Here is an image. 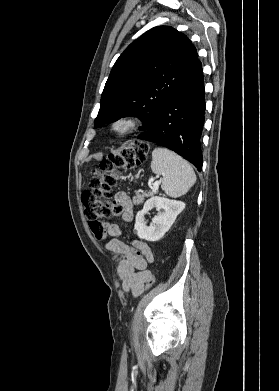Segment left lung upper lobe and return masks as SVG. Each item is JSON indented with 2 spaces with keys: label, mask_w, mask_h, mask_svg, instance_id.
Listing matches in <instances>:
<instances>
[{
  "label": "left lung upper lobe",
  "mask_w": 279,
  "mask_h": 391,
  "mask_svg": "<svg viewBox=\"0 0 279 391\" xmlns=\"http://www.w3.org/2000/svg\"><path fill=\"white\" fill-rule=\"evenodd\" d=\"M200 61L186 35L154 27L132 42L115 62L101 96L95 128L122 117L142 120L149 129Z\"/></svg>",
  "instance_id": "1"
}]
</instances>
